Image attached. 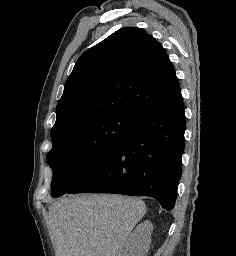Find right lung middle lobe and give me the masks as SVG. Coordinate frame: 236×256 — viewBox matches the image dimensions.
Segmentation results:
<instances>
[{"instance_id": "obj_1", "label": "right lung middle lobe", "mask_w": 236, "mask_h": 256, "mask_svg": "<svg viewBox=\"0 0 236 256\" xmlns=\"http://www.w3.org/2000/svg\"><path fill=\"white\" fill-rule=\"evenodd\" d=\"M138 119L124 113L72 124L51 134L48 163L53 169L52 195L70 190L128 134Z\"/></svg>"}]
</instances>
